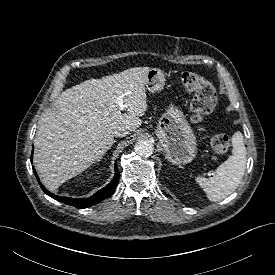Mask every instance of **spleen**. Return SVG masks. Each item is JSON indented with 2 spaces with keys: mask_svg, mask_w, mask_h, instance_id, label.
<instances>
[{
  "mask_svg": "<svg viewBox=\"0 0 275 275\" xmlns=\"http://www.w3.org/2000/svg\"><path fill=\"white\" fill-rule=\"evenodd\" d=\"M232 155L215 171V175L206 179L196 177V182L204 189L207 198L212 202L225 199L238 187L246 169V147L241 132L237 131L232 136Z\"/></svg>",
  "mask_w": 275,
  "mask_h": 275,
  "instance_id": "1",
  "label": "spleen"
}]
</instances>
